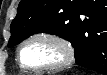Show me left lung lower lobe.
<instances>
[{
    "label": "left lung lower lobe",
    "mask_w": 107,
    "mask_h": 75,
    "mask_svg": "<svg viewBox=\"0 0 107 75\" xmlns=\"http://www.w3.org/2000/svg\"><path fill=\"white\" fill-rule=\"evenodd\" d=\"M88 4L95 5L96 10L87 16L83 24L82 36L85 35L83 47L84 54L76 58V63L82 67L107 75V36L100 34L99 37H91L88 40V31L92 23H101L107 26V0H87ZM85 20V18H84Z\"/></svg>",
    "instance_id": "left-lung-lower-lobe-1"
}]
</instances>
